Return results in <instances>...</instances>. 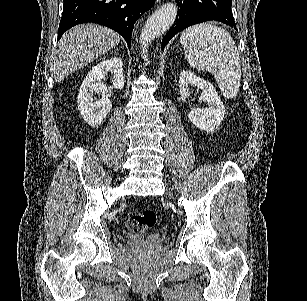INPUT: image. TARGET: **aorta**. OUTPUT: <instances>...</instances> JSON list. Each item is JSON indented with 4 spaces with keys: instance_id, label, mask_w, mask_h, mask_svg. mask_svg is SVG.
I'll return each mask as SVG.
<instances>
[{
    "instance_id": "762f6f07",
    "label": "aorta",
    "mask_w": 307,
    "mask_h": 301,
    "mask_svg": "<svg viewBox=\"0 0 307 301\" xmlns=\"http://www.w3.org/2000/svg\"><path fill=\"white\" fill-rule=\"evenodd\" d=\"M177 16V4L165 2L154 10L153 14L147 18L139 36L141 44V54L144 60H148V44L154 38H158L169 30Z\"/></svg>"
}]
</instances>
